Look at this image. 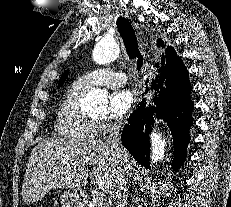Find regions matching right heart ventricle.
Instances as JSON below:
<instances>
[{
	"instance_id": "1",
	"label": "right heart ventricle",
	"mask_w": 231,
	"mask_h": 207,
	"mask_svg": "<svg viewBox=\"0 0 231 207\" xmlns=\"http://www.w3.org/2000/svg\"><path fill=\"white\" fill-rule=\"evenodd\" d=\"M84 91L74 84L61 101L55 125L58 136L71 141H82L97 135V122L86 116L79 106Z\"/></svg>"
}]
</instances>
